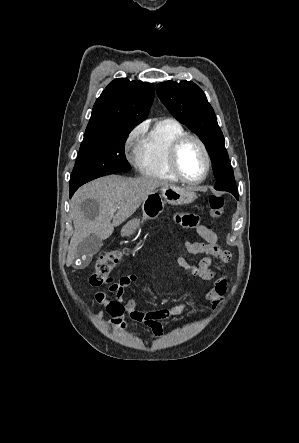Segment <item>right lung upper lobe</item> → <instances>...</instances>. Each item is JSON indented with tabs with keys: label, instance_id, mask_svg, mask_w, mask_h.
<instances>
[{
	"label": "right lung upper lobe",
	"instance_id": "obj_1",
	"mask_svg": "<svg viewBox=\"0 0 299 443\" xmlns=\"http://www.w3.org/2000/svg\"><path fill=\"white\" fill-rule=\"evenodd\" d=\"M154 85L127 78L113 80L94 104L85 134L116 126H135L146 119Z\"/></svg>",
	"mask_w": 299,
	"mask_h": 443
}]
</instances>
